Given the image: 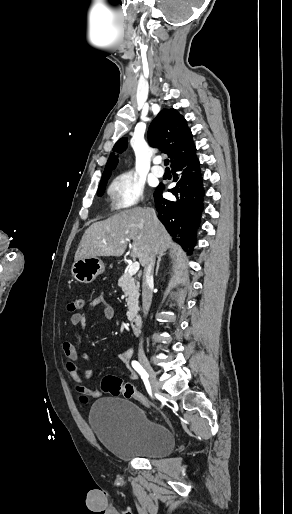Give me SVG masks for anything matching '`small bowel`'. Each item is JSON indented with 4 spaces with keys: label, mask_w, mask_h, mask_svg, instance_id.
<instances>
[{
    "label": "small bowel",
    "mask_w": 292,
    "mask_h": 514,
    "mask_svg": "<svg viewBox=\"0 0 292 514\" xmlns=\"http://www.w3.org/2000/svg\"><path fill=\"white\" fill-rule=\"evenodd\" d=\"M90 308H99L101 310L103 318L106 320H111L115 317V309L109 304L104 297V295H97L92 302L90 303ZM70 322L74 327H82L86 322V314L84 313H74L70 317ZM63 354L65 357V365L68 376L73 382L77 391H79L83 396L82 400L86 401L87 398H99L103 395L102 391L94 388H89L85 385L84 380L90 379L94 376V373L90 370L80 371L76 366V361L79 356V352L75 345L70 341H65L62 345ZM83 357L88 361H93L95 358L92 354L84 352ZM121 361L124 364L129 363V353L126 351L120 356ZM129 378L131 380H135L137 378V374L135 371L130 370Z\"/></svg>",
    "instance_id": "obj_1"
}]
</instances>
